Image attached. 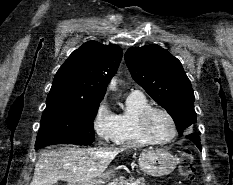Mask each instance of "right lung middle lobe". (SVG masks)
<instances>
[{"instance_id":"right-lung-middle-lobe-1","label":"right lung middle lobe","mask_w":233,"mask_h":185,"mask_svg":"<svg viewBox=\"0 0 233 185\" xmlns=\"http://www.w3.org/2000/svg\"><path fill=\"white\" fill-rule=\"evenodd\" d=\"M101 100L48 95L36 149L59 143L88 145L94 137L93 120Z\"/></svg>"}]
</instances>
